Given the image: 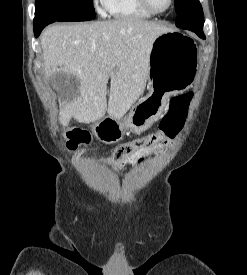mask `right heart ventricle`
<instances>
[{"instance_id":"obj_1","label":"right heart ventricle","mask_w":247,"mask_h":275,"mask_svg":"<svg viewBox=\"0 0 247 275\" xmlns=\"http://www.w3.org/2000/svg\"><path fill=\"white\" fill-rule=\"evenodd\" d=\"M108 13L122 20L148 19L153 15L142 7L139 0H108Z\"/></svg>"}]
</instances>
